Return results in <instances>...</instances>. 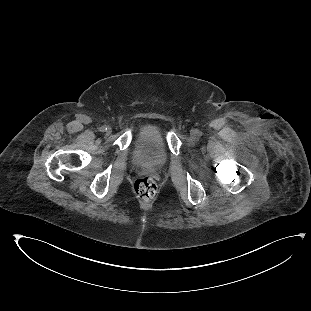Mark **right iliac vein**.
Wrapping results in <instances>:
<instances>
[{
	"label": "right iliac vein",
	"instance_id": "right-iliac-vein-1",
	"mask_svg": "<svg viewBox=\"0 0 311 311\" xmlns=\"http://www.w3.org/2000/svg\"><path fill=\"white\" fill-rule=\"evenodd\" d=\"M111 132H112V129L110 128V127H108L107 129H106V134H111Z\"/></svg>",
	"mask_w": 311,
	"mask_h": 311
}]
</instances>
